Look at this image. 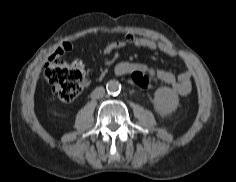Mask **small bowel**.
<instances>
[{"label": "small bowel", "mask_w": 236, "mask_h": 182, "mask_svg": "<svg viewBox=\"0 0 236 182\" xmlns=\"http://www.w3.org/2000/svg\"><path fill=\"white\" fill-rule=\"evenodd\" d=\"M127 46L142 47L150 51L161 52L171 57L179 55L178 51L169 43L157 42L153 39L139 37L132 33H126L120 39L107 43L103 50L106 53H110ZM72 49L73 45L70 42H65L56 50L54 55L57 57L63 56L70 53ZM131 70H140L149 73L151 76L156 77L163 83L169 85L172 90L180 96H186L192 90V71L190 69H187L177 76L166 70L155 71L144 64H134L131 66Z\"/></svg>", "instance_id": "1"}]
</instances>
